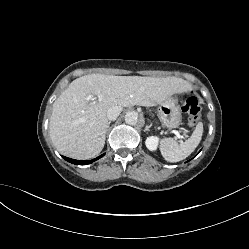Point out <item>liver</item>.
Masks as SVG:
<instances>
[{
	"label": "liver",
	"mask_w": 249,
	"mask_h": 249,
	"mask_svg": "<svg viewBox=\"0 0 249 249\" xmlns=\"http://www.w3.org/2000/svg\"><path fill=\"white\" fill-rule=\"evenodd\" d=\"M190 85L177 77L85 75L72 81L53 103L50 137L63 155L96 157L105 144L112 106H156Z\"/></svg>",
	"instance_id": "1"
}]
</instances>
